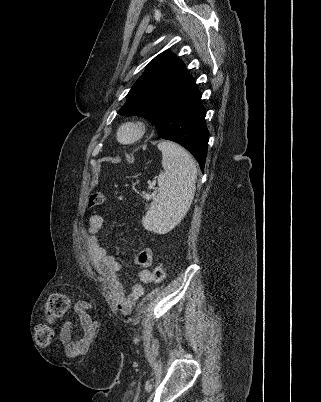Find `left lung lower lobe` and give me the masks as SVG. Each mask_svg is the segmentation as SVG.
I'll return each instance as SVG.
<instances>
[{
	"instance_id": "0a47b994",
	"label": "left lung lower lobe",
	"mask_w": 321,
	"mask_h": 402,
	"mask_svg": "<svg viewBox=\"0 0 321 402\" xmlns=\"http://www.w3.org/2000/svg\"><path fill=\"white\" fill-rule=\"evenodd\" d=\"M201 92L189 75L163 101L154 125L158 136L185 147L204 170L209 132Z\"/></svg>"
}]
</instances>
